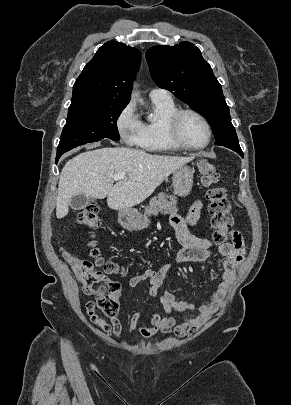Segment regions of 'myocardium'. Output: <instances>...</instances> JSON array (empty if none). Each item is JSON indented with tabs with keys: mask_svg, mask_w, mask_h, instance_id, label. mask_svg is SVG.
<instances>
[{
	"mask_svg": "<svg viewBox=\"0 0 291 405\" xmlns=\"http://www.w3.org/2000/svg\"><path fill=\"white\" fill-rule=\"evenodd\" d=\"M186 115L195 116L205 126V128L207 130V140L203 145L192 146V145L187 144L183 140V138L181 136L180 126H181V121H182L183 117ZM167 130H168V135H169L171 141L176 146H178L181 149L189 150V151H200V150L205 149L211 143L212 135H213L211 125L208 122V120L206 119V117L204 115H202L200 112H198L194 109H190V108L178 109L176 112H174L168 120Z\"/></svg>",
	"mask_w": 291,
	"mask_h": 405,
	"instance_id": "f54148a6",
	"label": "myocardium"
}]
</instances>
